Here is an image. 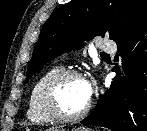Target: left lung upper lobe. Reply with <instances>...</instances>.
<instances>
[{
    "label": "left lung upper lobe",
    "instance_id": "obj_1",
    "mask_svg": "<svg viewBox=\"0 0 147 131\" xmlns=\"http://www.w3.org/2000/svg\"><path fill=\"white\" fill-rule=\"evenodd\" d=\"M147 24V0H71L44 23L28 65L26 81L55 57L80 49L95 36L129 40Z\"/></svg>",
    "mask_w": 147,
    "mask_h": 131
}]
</instances>
